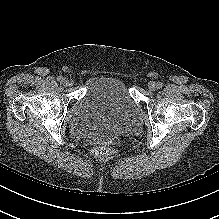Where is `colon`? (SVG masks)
<instances>
[{"instance_id": "5ec220e1", "label": "colon", "mask_w": 219, "mask_h": 219, "mask_svg": "<svg viewBox=\"0 0 219 219\" xmlns=\"http://www.w3.org/2000/svg\"><path fill=\"white\" fill-rule=\"evenodd\" d=\"M92 154L97 157L107 158L113 154V150L108 146H97L92 149Z\"/></svg>"}]
</instances>
